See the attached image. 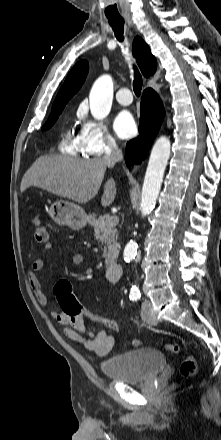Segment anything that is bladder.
I'll list each match as a JSON object with an SVG mask.
<instances>
[{"instance_id": "1", "label": "bladder", "mask_w": 221, "mask_h": 440, "mask_svg": "<svg viewBox=\"0 0 221 440\" xmlns=\"http://www.w3.org/2000/svg\"><path fill=\"white\" fill-rule=\"evenodd\" d=\"M166 366L164 354L153 348L136 349L113 356L100 365L110 381L132 384L145 382Z\"/></svg>"}]
</instances>
